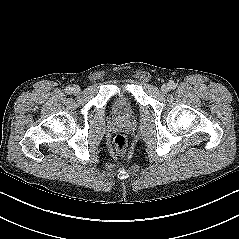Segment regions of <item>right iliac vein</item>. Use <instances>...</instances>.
I'll return each instance as SVG.
<instances>
[{"instance_id":"63e3f726","label":"right iliac vein","mask_w":239,"mask_h":239,"mask_svg":"<svg viewBox=\"0 0 239 239\" xmlns=\"http://www.w3.org/2000/svg\"><path fill=\"white\" fill-rule=\"evenodd\" d=\"M72 89H73V90H72L73 93H75V94L80 93V90H81L80 87H79L78 85H74Z\"/></svg>"}]
</instances>
